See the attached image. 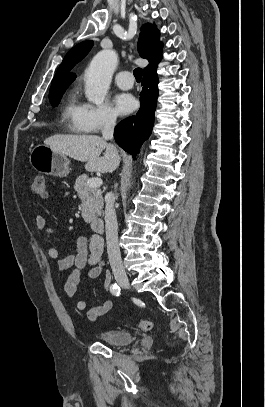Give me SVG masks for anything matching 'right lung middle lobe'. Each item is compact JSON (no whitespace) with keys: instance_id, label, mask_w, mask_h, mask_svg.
Returning <instances> with one entry per match:
<instances>
[{"instance_id":"obj_1","label":"right lung middle lobe","mask_w":265,"mask_h":407,"mask_svg":"<svg viewBox=\"0 0 265 407\" xmlns=\"http://www.w3.org/2000/svg\"><path fill=\"white\" fill-rule=\"evenodd\" d=\"M71 83L52 85L49 91V100L53 106H57L60 102L62 93Z\"/></svg>"}]
</instances>
